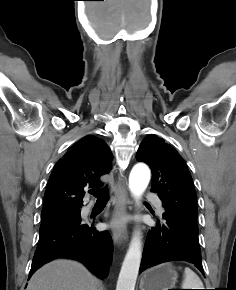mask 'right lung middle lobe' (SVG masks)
<instances>
[{
  "label": "right lung middle lobe",
  "mask_w": 236,
  "mask_h": 290,
  "mask_svg": "<svg viewBox=\"0 0 236 290\" xmlns=\"http://www.w3.org/2000/svg\"><path fill=\"white\" fill-rule=\"evenodd\" d=\"M81 221L80 210H70L51 214H42L40 234L50 230L73 225Z\"/></svg>",
  "instance_id": "dd1d6c3e"
}]
</instances>
